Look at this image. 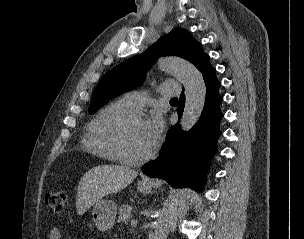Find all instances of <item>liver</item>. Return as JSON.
Wrapping results in <instances>:
<instances>
[{
    "label": "liver",
    "mask_w": 304,
    "mask_h": 239,
    "mask_svg": "<svg viewBox=\"0 0 304 239\" xmlns=\"http://www.w3.org/2000/svg\"><path fill=\"white\" fill-rule=\"evenodd\" d=\"M137 172L120 165L93 167L81 178L77 189L76 208L83 215L92 205L108 194L117 193L130 185Z\"/></svg>",
    "instance_id": "1"
}]
</instances>
